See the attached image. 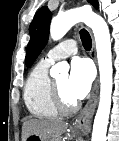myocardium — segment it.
Here are the masks:
<instances>
[{"label":"myocardium","instance_id":"obj_1","mask_svg":"<svg viewBox=\"0 0 119 141\" xmlns=\"http://www.w3.org/2000/svg\"><path fill=\"white\" fill-rule=\"evenodd\" d=\"M50 96L52 104L58 113L67 115L77 111L79 106L78 103L76 101L71 104L66 103L60 94L55 80H52L51 83Z\"/></svg>","mask_w":119,"mask_h":141}]
</instances>
